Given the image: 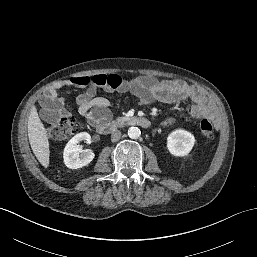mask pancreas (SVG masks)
I'll return each mask as SVG.
<instances>
[{
  "instance_id": "1",
  "label": "pancreas",
  "mask_w": 257,
  "mask_h": 257,
  "mask_svg": "<svg viewBox=\"0 0 257 257\" xmlns=\"http://www.w3.org/2000/svg\"><path fill=\"white\" fill-rule=\"evenodd\" d=\"M125 120V117H118L117 119H116V122L117 123H121L122 121H124Z\"/></svg>"
}]
</instances>
